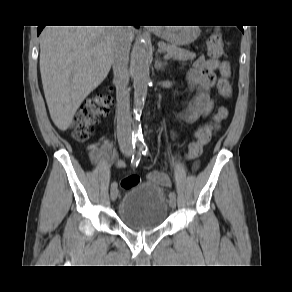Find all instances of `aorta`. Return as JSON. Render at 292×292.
<instances>
[{"mask_svg":"<svg viewBox=\"0 0 292 292\" xmlns=\"http://www.w3.org/2000/svg\"><path fill=\"white\" fill-rule=\"evenodd\" d=\"M133 86H134V112L136 116L141 112L148 90L150 81L149 60L150 53L146 44L139 41L133 50ZM135 134L139 131L137 123L133 125ZM136 143L140 142L139 138L135 139Z\"/></svg>","mask_w":292,"mask_h":292,"instance_id":"762f6f07","label":"aorta"}]
</instances>
